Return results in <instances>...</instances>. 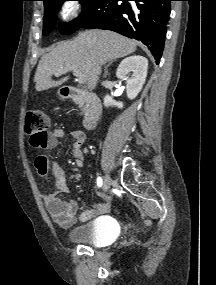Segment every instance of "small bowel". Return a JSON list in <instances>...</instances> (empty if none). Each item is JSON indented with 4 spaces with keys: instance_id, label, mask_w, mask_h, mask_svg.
Listing matches in <instances>:
<instances>
[{
    "instance_id": "1",
    "label": "small bowel",
    "mask_w": 216,
    "mask_h": 285,
    "mask_svg": "<svg viewBox=\"0 0 216 285\" xmlns=\"http://www.w3.org/2000/svg\"><path fill=\"white\" fill-rule=\"evenodd\" d=\"M63 129L57 128L48 133V143L44 149H54L57 147L59 141L64 137ZM73 140L71 154L74 158L76 167H80L84 161V152L82 147L86 141L85 133L81 130H71L69 132ZM37 172L41 176H45L52 168L55 174V190L53 193L46 194L43 197L44 204L48 210L50 217L55 223L61 227H69L74 223L86 222L99 214L106 213L110 205L108 202H103L94 205L91 209H86L77 217L78 205L74 200H65L61 197L68 191L67 175L64 170L55 161L48 159L45 156H38L35 162ZM79 175L75 174L73 179H79Z\"/></svg>"
}]
</instances>
